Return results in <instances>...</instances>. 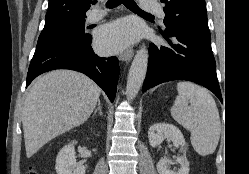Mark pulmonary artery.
I'll return each mask as SVG.
<instances>
[{
  "instance_id": "pulmonary-artery-1",
  "label": "pulmonary artery",
  "mask_w": 249,
  "mask_h": 174,
  "mask_svg": "<svg viewBox=\"0 0 249 174\" xmlns=\"http://www.w3.org/2000/svg\"><path fill=\"white\" fill-rule=\"evenodd\" d=\"M142 4V10L146 13L156 14L159 18H165V12L163 11L161 5L154 0H140ZM106 15L104 9H96L90 13L87 17L89 23L98 22L103 19Z\"/></svg>"
}]
</instances>
